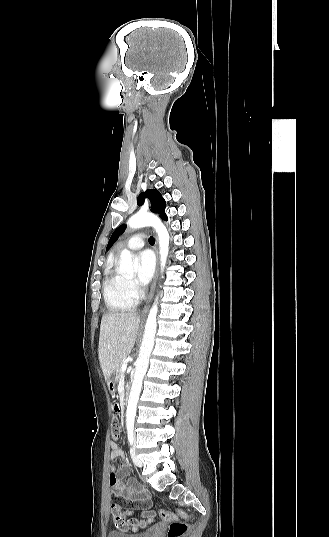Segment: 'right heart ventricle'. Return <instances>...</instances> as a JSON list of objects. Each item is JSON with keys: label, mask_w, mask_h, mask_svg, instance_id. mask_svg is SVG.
I'll list each match as a JSON object with an SVG mask.
<instances>
[{"label": "right heart ventricle", "mask_w": 329, "mask_h": 537, "mask_svg": "<svg viewBox=\"0 0 329 537\" xmlns=\"http://www.w3.org/2000/svg\"><path fill=\"white\" fill-rule=\"evenodd\" d=\"M103 295L108 309L113 313L130 310L136 305V299L127 291L124 275L112 263L105 269Z\"/></svg>", "instance_id": "right-heart-ventricle-1"}]
</instances>
